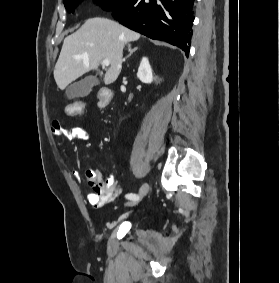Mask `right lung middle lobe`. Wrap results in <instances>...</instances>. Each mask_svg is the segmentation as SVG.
Here are the masks:
<instances>
[{
  "mask_svg": "<svg viewBox=\"0 0 280 283\" xmlns=\"http://www.w3.org/2000/svg\"><path fill=\"white\" fill-rule=\"evenodd\" d=\"M104 9L117 11L120 10L128 0H96ZM65 8L69 13H73L75 7L78 5L80 0H63Z\"/></svg>",
  "mask_w": 280,
  "mask_h": 283,
  "instance_id": "dd1d6c3e",
  "label": "right lung middle lobe"
}]
</instances>
